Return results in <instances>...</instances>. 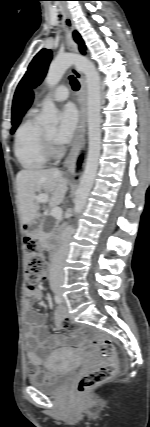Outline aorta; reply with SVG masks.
Masks as SVG:
<instances>
[{"label":"aorta","mask_w":150,"mask_h":427,"mask_svg":"<svg viewBox=\"0 0 150 427\" xmlns=\"http://www.w3.org/2000/svg\"><path fill=\"white\" fill-rule=\"evenodd\" d=\"M71 65L85 75L87 85L88 153L76 192L74 213L77 215L86 205L98 169L101 150V84L96 67L89 59L82 55L64 54L57 56L49 66L45 79L48 87H55ZM39 122L48 129L57 126V108L51 99L44 102Z\"/></svg>","instance_id":"1"}]
</instances>
